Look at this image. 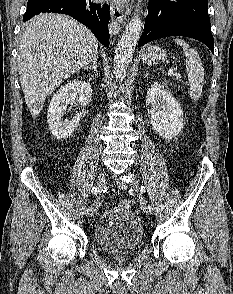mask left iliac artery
Segmentation results:
<instances>
[{
	"mask_svg": "<svg viewBox=\"0 0 233 294\" xmlns=\"http://www.w3.org/2000/svg\"><path fill=\"white\" fill-rule=\"evenodd\" d=\"M132 191H133V190H132ZM140 192H141V193H144V192H145V187H144V186H141V187H140ZM148 209H149L150 212H152V211L154 210V206H153L152 204H149V205H148Z\"/></svg>",
	"mask_w": 233,
	"mask_h": 294,
	"instance_id": "obj_1",
	"label": "left iliac artery"
}]
</instances>
